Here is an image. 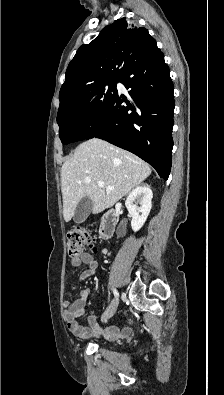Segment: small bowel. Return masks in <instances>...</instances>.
I'll return each instance as SVG.
<instances>
[{
  "label": "small bowel",
  "instance_id": "c3829d8e",
  "mask_svg": "<svg viewBox=\"0 0 224 395\" xmlns=\"http://www.w3.org/2000/svg\"><path fill=\"white\" fill-rule=\"evenodd\" d=\"M82 263L87 266V269L81 272L78 277V282L93 276L98 269V261L91 253H83L78 259L71 261V264L75 267L80 266ZM90 294V289L84 288L80 291V295L77 299L72 302L65 301L63 303L65 308L64 319L70 332L76 337L82 339L102 334L107 338H120L127 336L129 334V329L126 326L120 324L101 327L94 314L89 315L87 318V326L80 324L78 319L85 312Z\"/></svg>",
  "mask_w": 224,
  "mask_h": 395
}]
</instances>
